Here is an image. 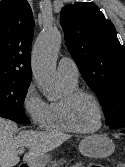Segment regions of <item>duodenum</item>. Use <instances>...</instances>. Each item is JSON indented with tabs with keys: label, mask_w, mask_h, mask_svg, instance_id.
I'll return each instance as SVG.
<instances>
[{
	"label": "duodenum",
	"mask_w": 125,
	"mask_h": 167,
	"mask_svg": "<svg viewBox=\"0 0 125 167\" xmlns=\"http://www.w3.org/2000/svg\"><path fill=\"white\" fill-rule=\"evenodd\" d=\"M19 167H27V164H21Z\"/></svg>",
	"instance_id": "410a0bca"
}]
</instances>
